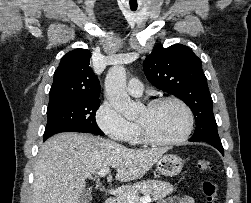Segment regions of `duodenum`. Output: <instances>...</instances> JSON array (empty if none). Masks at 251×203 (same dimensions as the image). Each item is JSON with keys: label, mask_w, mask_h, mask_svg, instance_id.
<instances>
[{"label": "duodenum", "mask_w": 251, "mask_h": 203, "mask_svg": "<svg viewBox=\"0 0 251 203\" xmlns=\"http://www.w3.org/2000/svg\"><path fill=\"white\" fill-rule=\"evenodd\" d=\"M103 203H115V198L114 197H109L106 200H104Z\"/></svg>", "instance_id": "410a0bca"}]
</instances>
